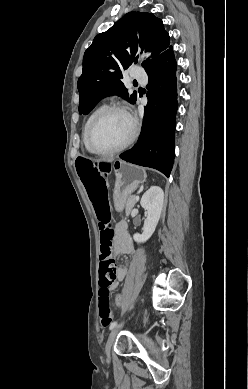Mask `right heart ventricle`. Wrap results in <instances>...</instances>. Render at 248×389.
<instances>
[{"label": "right heart ventricle", "instance_id": "right-heart-ventricle-1", "mask_svg": "<svg viewBox=\"0 0 248 389\" xmlns=\"http://www.w3.org/2000/svg\"><path fill=\"white\" fill-rule=\"evenodd\" d=\"M103 106H98L96 107L91 113L90 115L88 116L85 124H84V128H83V142H84V145L85 147L87 148V145H86V134H87V130H88V126L91 122V120L93 119V117L98 113V111L102 108ZM88 149V148H87ZM89 151V150H88Z\"/></svg>", "mask_w": 248, "mask_h": 389}]
</instances>
